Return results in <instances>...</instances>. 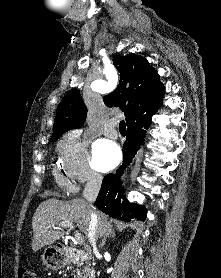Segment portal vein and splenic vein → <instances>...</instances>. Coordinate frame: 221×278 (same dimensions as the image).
<instances>
[{"label": "portal vein and splenic vein", "instance_id": "portal-vein-and-splenic-vein-1", "mask_svg": "<svg viewBox=\"0 0 221 278\" xmlns=\"http://www.w3.org/2000/svg\"><path fill=\"white\" fill-rule=\"evenodd\" d=\"M59 227L74 229L73 223H71L69 221L61 222L59 224ZM74 240H75L76 243L82 244L84 242V237L79 232L75 231V233H74Z\"/></svg>", "mask_w": 221, "mask_h": 278}]
</instances>
